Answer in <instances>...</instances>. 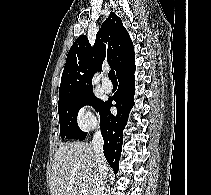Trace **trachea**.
Wrapping results in <instances>:
<instances>
[{"label": "trachea", "instance_id": "3493384b", "mask_svg": "<svg viewBox=\"0 0 211 195\" xmlns=\"http://www.w3.org/2000/svg\"><path fill=\"white\" fill-rule=\"evenodd\" d=\"M108 77H109L110 80H117L116 75H115V72H114L113 69H111V70L109 71Z\"/></svg>", "mask_w": 211, "mask_h": 195}]
</instances>
